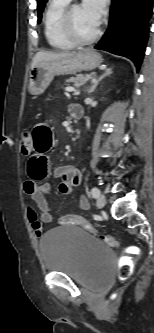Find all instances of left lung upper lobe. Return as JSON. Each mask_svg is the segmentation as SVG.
I'll list each match as a JSON object with an SVG mask.
<instances>
[{
  "label": "left lung upper lobe",
  "mask_w": 154,
  "mask_h": 333,
  "mask_svg": "<svg viewBox=\"0 0 154 333\" xmlns=\"http://www.w3.org/2000/svg\"><path fill=\"white\" fill-rule=\"evenodd\" d=\"M48 0H37V10H38V23H40L42 18V12L45 7V4Z\"/></svg>",
  "instance_id": "1"
}]
</instances>
